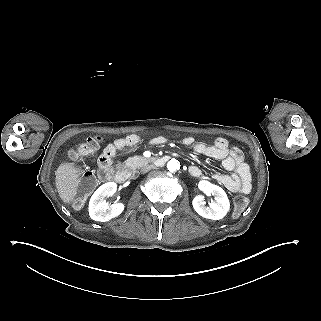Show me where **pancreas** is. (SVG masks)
<instances>
[{
    "label": "pancreas",
    "instance_id": "1",
    "mask_svg": "<svg viewBox=\"0 0 321 321\" xmlns=\"http://www.w3.org/2000/svg\"><path fill=\"white\" fill-rule=\"evenodd\" d=\"M150 161H151L150 158H145L143 156H134V157H129L126 160V164L128 166H136L138 168V167L147 165L148 163H150Z\"/></svg>",
    "mask_w": 321,
    "mask_h": 321
}]
</instances>
